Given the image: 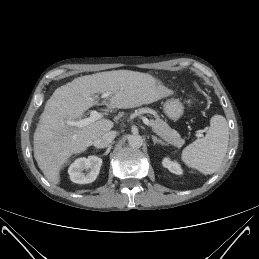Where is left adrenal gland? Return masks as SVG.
Returning <instances> with one entry per match:
<instances>
[{
    "instance_id": "left-adrenal-gland-1",
    "label": "left adrenal gland",
    "mask_w": 259,
    "mask_h": 259,
    "mask_svg": "<svg viewBox=\"0 0 259 259\" xmlns=\"http://www.w3.org/2000/svg\"><path fill=\"white\" fill-rule=\"evenodd\" d=\"M152 140H153V142H154V144H161L162 146H166L167 144L165 143V142H163L162 140H160V139H157V137L156 136H154V135H152Z\"/></svg>"
}]
</instances>
